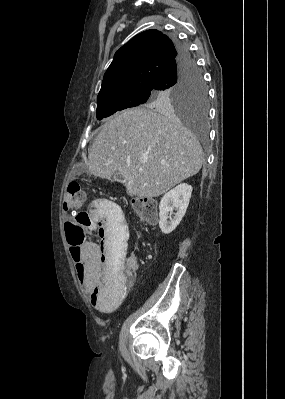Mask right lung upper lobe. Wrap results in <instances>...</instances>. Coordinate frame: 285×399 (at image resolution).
Masks as SVG:
<instances>
[{"label":"right lung upper lobe","instance_id":"cb5924a9","mask_svg":"<svg viewBox=\"0 0 285 399\" xmlns=\"http://www.w3.org/2000/svg\"><path fill=\"white\" fill-rule=\"evenodd\" d=\"M176 57L174 43L162 32L147 30L134 36L115 53L98 98L132 89H153Z\"/></svg>","mask_w":285,"mask_h":399}]
</instances>
